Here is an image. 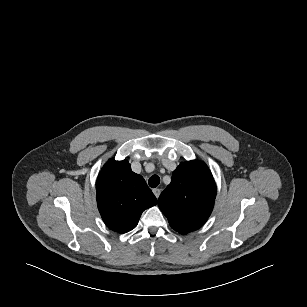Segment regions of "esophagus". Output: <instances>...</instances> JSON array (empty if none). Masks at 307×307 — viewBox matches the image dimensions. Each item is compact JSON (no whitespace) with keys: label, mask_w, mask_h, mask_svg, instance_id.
Here are the masks:
<instances>
[{"label":"esophagus","mask_w":307,"mask_h":307,"mask_svg":"<svg viewBox=\"0 0 307 307\" xmlns=\"http://www.w3.org/2000/svg\"><path fill=\"white\" fill-rule=\"evenodd\" d=\"M153 193L156 196V198H159L160 193H161V189L155 188V189H153Z\"/></svg>","instance_id":"34e87169"}]
</instances>
